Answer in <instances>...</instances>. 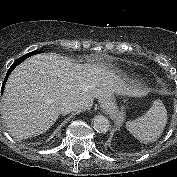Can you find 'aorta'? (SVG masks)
Returning a JSON list of instances; mask_svg holds the SVG:
<instances>
[{
	"label": "aorta",
	"instance_id": "aorta-1",
	"mask_svg": "<svg viewBox=\"0 0 177 177\" xmlns=\"http://www.w3.org/2000/svg\"><path fill=\"white\" fill-rule=\"evenodd\" d=\"M92 126L98 133H106L110 129V122L107 117L98 115L92 119Z\"/></svg>",
	"mask_w": 177,
	"mask_h": 177
}]
</instances>
